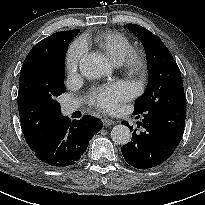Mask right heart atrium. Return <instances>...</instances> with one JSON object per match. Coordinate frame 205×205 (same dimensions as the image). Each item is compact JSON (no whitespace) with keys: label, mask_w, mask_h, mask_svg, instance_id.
Listing matches in <instances>:
<instances>
[{"label":"right heart atrium","mask_w":205,"mask_h":205,"mask_svg":"<svg viewBox=\"0 0 205 205\" xmlns=\"http://www.w3.org/2000/svg\"><path fill=\"white\" fill-rule=\"evenodd\" d=\"M86 51L84 44L80 40L74 41L68 48L66 53V68L69 73L74 74L78 65Z\"/></svg>","instance_id":"d8ad5b80"}]
</instances>
